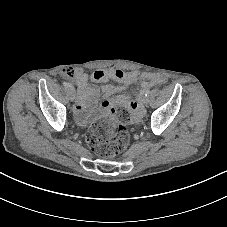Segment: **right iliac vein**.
<instances>
[{
  "label": "right iliac vein",
  "instance_id": "63e3f726",
  "mask_svg": "<svg viewBox=\"0 0 227 227\" xmlns=\"http://www.w3.org/2000/svg\"><path fill=\"white\" fill-rule=\"evenodd\" d=\"M70 98H71L72 101L75 99V90H74V88H72L71 91H70Z\"/></svg>",
  "mask_w": 227,
  "mask_h": 227
}]
</instances>
